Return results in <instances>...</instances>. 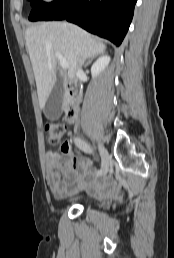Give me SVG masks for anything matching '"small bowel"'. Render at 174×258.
Listing matches in <instances>:
<instances>
[{"label":"small bowel","instance_id":"small-bowel-1","mask_svg":"<svg viewBox=\"0 0 174 258\" xmlns=\"http://www.w3.org/2000/svg\"><path fill=\"white\" fill-rule=\"evenodd\" d=\"M67 155L72 161V167L65 172L64 177L58 171L59 163L52 156L48 161V184L54 197L60 198L69 192V188L75 184H83L87 178H93L97 175V171L93 168L92 163L84 158L76 157L73 154L71 143L66 142ZM111 190L110 182L105 181L97 184L93 192L102 195Z\"/></svg>","mask_w":174,"mask_h":258}]
</instances>
